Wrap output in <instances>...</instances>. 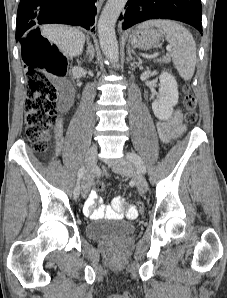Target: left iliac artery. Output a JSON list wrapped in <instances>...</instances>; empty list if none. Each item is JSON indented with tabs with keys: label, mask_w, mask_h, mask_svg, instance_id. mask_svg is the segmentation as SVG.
I'll use <instances>...</instances> for the list:
<instances>
[{
	"label": "left iliac artery",
	"mask_w": 227,
	"mask_h": 298,
	"mask_svg": "<svg viewBox=\"0 0 227 298\" xmlns=\"http://www.w3.org/2000/svg\"><path fill=\"white\" fill-rule=\"evenodd\" d=\"M128 159L140 170L143 174L146 173V167L144 162L136 153H128Z\"/></svg>",
	"instance_id": "obj_1"
}]
</instances>
